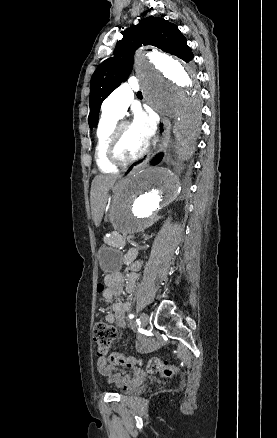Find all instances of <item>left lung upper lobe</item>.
<instances>
[{"label": "left lung upper lobe", "instance_id": "1", "mask_svg": "<svg viewBox=\"0 0 277 438\" xmlns=\"http://www.w3.org/2000/svg\"><path fill=\"white\" fill-rule=\"evenodd\" d=\"M123 36L113 56L104 60L92 75L88 117L90 128L97 125L102 101L128 78L133 67L134 52L138 47L153 45L185 62L193 59L187 40L178 27L163 18H144L138 25L127 29Z\"/></svg>", "mask_w": 277, "mask_h": 438}]
</instances>
